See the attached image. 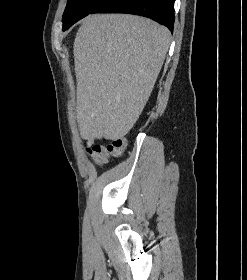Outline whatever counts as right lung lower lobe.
Returning <instances> with one entry per match:
<instances>
[{"mask_svg":"<svg viewBox=\"0 0 247 280\" xmlns=\"http://www.w3.org/2000/svg\"><path fill=\"white\" fill-rule=\"evenodd\" d=\"M174 1L175 0H104L93 13L122 12L145 16L161 23L173 32Z\"/></svg>","mask_w":247,"mask_h":280,"instance_id":"right-lung-lower-lobe-1","label":"right lung lower lobe"}]
</instances>
